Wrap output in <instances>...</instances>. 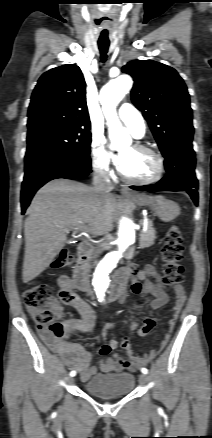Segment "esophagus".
<instances>
[{"label":"esophagus","mask_w":212,"mask_h":438,"mask_svg":"<svg viewBox=\"0 0 212 438\" xmlns=\"http://www.w3.org/2000/svg\"><path fill=\"white\" fill-rule=\"evenodd\" d=\"M121 193H122V195H124V196L132 195V193L130 192V190H129L127 187H122V188H121Z\"/></svg>","instance_id":"esophagus-1"}]
</instances>
